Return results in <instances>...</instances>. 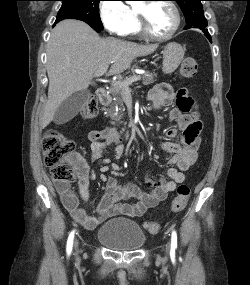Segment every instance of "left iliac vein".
Here are the masks:
<instances>
[{"mask_svg":"<svg viewBox=\"0 0 250 285\" xmlns=\"http://www.w3.org/2000/svg\"><path fill=\"white\" fill-rule=\"evenodd\" d=\"M169 249V244L167 245V250Z\"/></svg>","mask_w":250,"mask_h":285,"instance_id":"left-iliac-vein-1","label":"left iliac vein"}]
</instances>
